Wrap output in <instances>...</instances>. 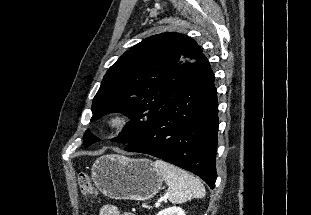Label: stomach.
<instances>
[{
    "instance_id": "stomach-1",
    "label": "stomach",
    "mask_w": 311,
    "mask_h": 215,
    "mask_svg": "<svg viewBox=\"0 0 311 215\" xmlns=\"http://www.w3.org/2000/svg\"><path fill=\"white\" fill-rule=\"evenodd\" d=\"M92 179L105 196L135 201H146L155 196L163 182L151 160L117 154L98 158L93 165Z\"/></svg>"
}]
</instances>
